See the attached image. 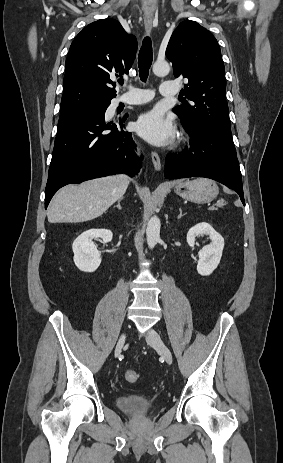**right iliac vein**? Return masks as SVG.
<instances>
[{
	"instance_id": "63e3f726",
	"label": "right iliac vein",
	"mask_w": 283,
	"mask_h": 463,
	"mask_svg": "<svg viewBox=\"0 0 283 463\" xmlns=\"http://www.w3.org/2000/svg\"><path fill=\"white\" fill-rule=\"evenodd\" d=\"M125 338H126V335H125V333H123L121 335V337L119 338L118 342H117V345H116V348H115V355H119L121 353V350H122L123 345L125 343Z\"/></svg>"
}]
</instances>
